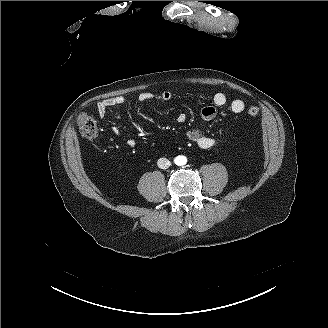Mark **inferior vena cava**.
Returning a JSON list of instances; mask_svg holds the SVG:
<instances>
[{"label": "inferior vena cava", "instance_id": "1", "mask_svg": "<svg viewBox=\"0 0 328 328\" xmlns=\"http://www.w3.org/2000/svg\"><path fill=\"white\" fill-rule=\"evenodd\" d=\"M157 165L161 169H167L171 165V162L167 158H160L157 161Z\"/></svg>", "mask_w": 328, "mask_h": 328}]
</instances>
